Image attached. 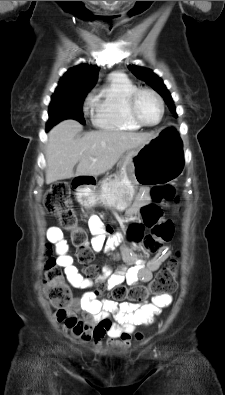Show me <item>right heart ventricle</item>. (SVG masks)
Instances as JSON below:
<instances>
[{"label":"right heart ventricle","mask_w":225,"mask_h":395,"mask_svg":"<svg viewBox=\"0 0 225 395\" xmlns=\"http://www.w3.org/2000/svg\"><path fill=\"white\" fill-rule=\"evenodd\" d=\"M137 89L136 85L124 74L109 75L105 84L92 99L94 124L104 130L136 131L140 129L129 116L127 100Z\"/></svg>","instance_id":"obj_1"}]
</instances>
